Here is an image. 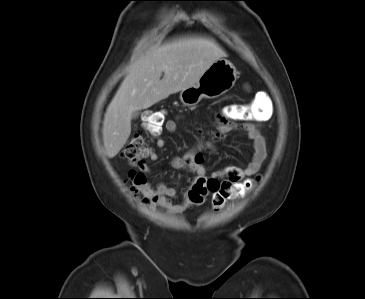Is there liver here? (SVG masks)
Here are the masks:
<instances>
[{"label":"liver","instance_id":"obj_1","mask_svg":"<svg viewBox=\"0 0 365 299\" xmlns=\"http://www.w3.org/2000/svg\"><path fill=\"white\" fill-rule=\"evenodd\" d=\"M226 56L213 39L198 36L152 47L131 67L106 110L102 136L107 156L115 157L128 140L133 112L193 86L212 63Z\"/></svg>","mask_w":365,"mask_h":299}]
</instances>
